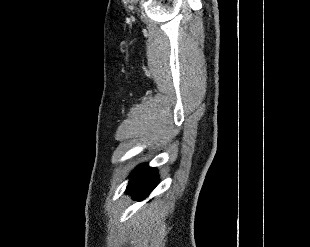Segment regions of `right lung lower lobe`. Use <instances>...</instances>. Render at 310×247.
<instances>
[{"instance_id": "98d812e1", "label": "right lung lower lobe", "mask_w": 310, "mask_h": 247, "mask_svg": "<svg viewBox=\"0 0 310 247\" xmlns=\"http://www.w3.org/2000/svg\"><path fill=\"white\" fill-rule=\"evenodd\" d=\"M159 182L155 168L138 166L130 177L126 192L136 200L145 199Z\"/></svg>"}]
</instances>
